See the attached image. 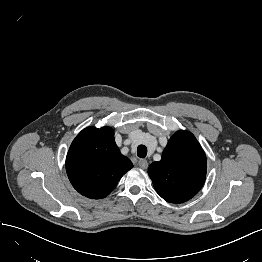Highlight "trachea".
<instances>
[{
	"label": "trachea",
	"mask_w": 262,
	"mask_h": 262,
	"mask_svg": "<svg viewBox=\"0 0 262 262\" xmlns=\"http://www.w3.org/2000/svg\"><path fill=\"white\" fill-rule=\"evenodd\" d=\"M147 155V148L144 145H139L137 148V156L140 158H145Z\"/></svg>",
	"instance_id": "1"
}]
</instances>
